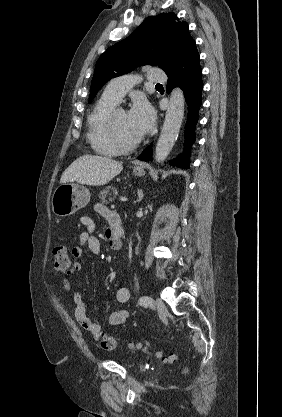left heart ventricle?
<instances>
[{
    "mask_svg": "<svg viewBox=\"0 0 282 417\" xmlns=\"http://www.w3.org/2000/svg\"><path fill=\"white\" fill-rule=\"evenodd\" d=\"M116 127L119 136L126 142H131L137 139L140 134L133 128L129 114L126 112H120L116 117ZM103 131L109 136L110 129L107 121L102 124Z\"/></svg>",
    "mask_w": 282,
    "mask_h": 417,
    "instance_id": "1",
    "label": "left heart ventricle"
}]
</instances>
